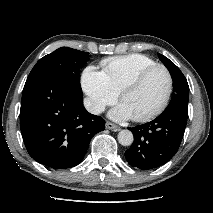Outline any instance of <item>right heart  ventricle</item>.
Returning a JSON list of instances; mask_svg holds the SVG:
<instances>
[{
	"instance_id": "right-heart-ventricle-1",
	"label": "right heart ventricle",
	"mask_w": 213,
	"mask_h": 213,
	"mask_svg": "<svg viewBox=\"0 0 213 213\" xmlns=\"http://www.w3.org/2000/svg\"><path fill=\"white\" fill-rule=\"evenodd\" d=\"M156 64L153 59L142 54L114 56L101 61L102 72L116 94L138 72Z\"/></svg>"
}]
</instances>
